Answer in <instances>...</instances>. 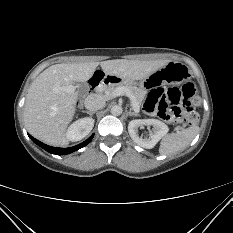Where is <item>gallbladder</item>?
<instances>
[{
	"label": "gallbladder",
	"instance_id": "bac80fb5",
	"mask_svg": "<svg viewBox=\"0 0 233 233\" xmlns=\"http://www.w3.org/2000/svg\"><path fill=\"white\" fill-rule=\"evenodd\" d=\"M76 85L78 86V90L80 92L84 93V91H85V84H83V83H80V84L76 83Z\"/></svg>",
	"mask_w": 233,
	"mask_h": 233
}]
</instances>
